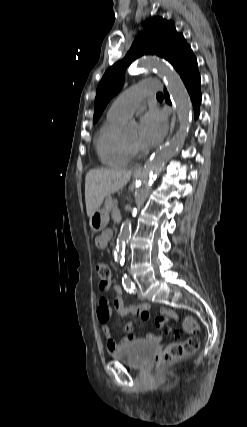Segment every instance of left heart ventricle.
Segmentation results:
<instances>
[{
	"label": "left heart ventricle",
	"mask_w": 247,
	"mask_h": 427,
	"mask_svg": "<svg viewBox=\"0 0 247 427\" xmlns=\"http://www.w3.org/2000/svg\"><path fill=\"white\" fill-rule=\"evenodd\" d=\"M139 133L137 130H134L125 136L126 140L135 147L140 148L138 141Z\"/></svg>",
	"instance_id": "b2bd125f"
}]
</instances>
